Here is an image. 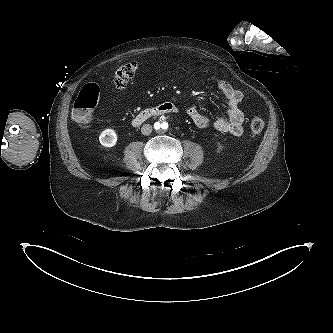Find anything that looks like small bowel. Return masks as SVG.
Segmentation results:
<instances>
[{
    "label": "small bowel",
    "instance_id": "small-bowel-1",
    "mask_svg": "<svg viewBox=\"0 0 333 333\" xmlns=\"http://www.w3.org/2000/svg\"><path fill=\"white\" fill-rule=\"evenodd\" d=\"M217 87L228 105L226 116L211 120L194 105L187 108V114L200 129H207L212 126L218 132L240 136L243 133L244 113L239 105L243 99V93L225 80H218Z\"/></svg>",
    "mask_w": 333,
    "mask_h": 333
}]
</instances>
